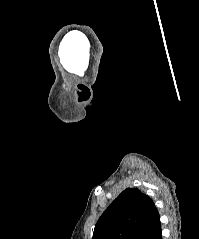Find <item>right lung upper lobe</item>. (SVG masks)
I'll use <instances>...</instances> for the list:
<instances>
[{
    "label": "right lung upper lobe",
    "mask_w": 199,
    "mask_h": 239,
    "mask_svg": "<svg viewBox=\"0 0 199 239\" xmlns=\"http://www.w3.org/2000/svg\"><path fill=\"white\" fill-rule=\"evenodd\" d=\"M159 221L152 199L138 189L127 188L101 215L92 239H141Z\"/></svg>",
    "instance_id": "1"
}]
</instances>
